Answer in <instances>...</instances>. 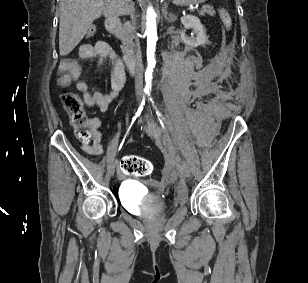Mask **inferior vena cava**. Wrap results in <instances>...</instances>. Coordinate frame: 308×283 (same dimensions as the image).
<instances>
[{"mask_svg":"<svg viewBox=\"0 0 308 283\" xmlns=\"http://www.w3.org/2000/svg\"><path fill=\"white\" fill-rule=\"evenodd\" d=\"M125 11H126V14L130 15V17L133 19V16H134V6H133L131 1H130V3H128L126 5ZM131 18H128L127 22H128L129 25H131L129 27V30H130L129 34L133 35L134 34V31H133L134 27L132 26L133 21H132ZM142 81H143V76H142L141 53H140L139 49H137V53H136V75H135V85H136V88L141 86Z\"/></svg>","mask_w":308,"mask_h":283,"instance_id":"602c4592","label":"inferior vena cava"}]
</instances>
